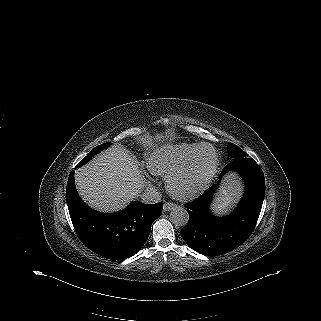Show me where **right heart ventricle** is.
Here are the masks:
<instances>
[{
  "label": "right heart ventricle",
  "instance_id": "1",
  "mask_svg": "<svg viewBox=\"0 0 321 321\" xmlns=\"http://www.w3.org/2000/svg\"><path fill=\"white\" fill-rule=\"evenodd\" d=\"M200 144L163 145L156 148L148 159V169L154 175L167 176L182 165Z\"/></svg>",
  "mask_w": 321,
  "mask_h": 321
}]
</instances>
